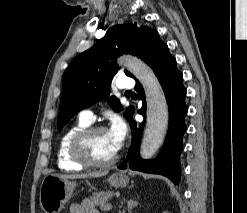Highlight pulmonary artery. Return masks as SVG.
Instances as JSON below:
<instances>
[{
	"label": "pulmonary artery",
	"mask_w": 247,
	"mask_h": 213,
	"mask_svg": "<svg viewBox=\"0 0 247 213\" xmlns=\"http://www.w3.org/2000/svg\"><path fill=\"white\" fill-rule=\"evenodd\" d=\"M120 90L121 91H130L134 87V81L129 77H120ZM79 117L81 120L86 122H93L95 119V115L91 110H83L80 112Z\"/></svg>",
	"instance_id": "obj_1"
}]
</instances>
